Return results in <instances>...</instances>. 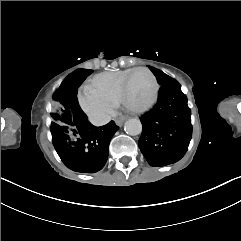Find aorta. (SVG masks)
Returning <instances> with one entry per match:
<instances>
[{
  "mask_svg": "<svg viewBox=\"0 0 241 241\" xmlns=\"http://www.w3.org/2000/svg\"><path fill=\"white\" fill-rule=\"evenodd\" d=\"M124 130L128 135L136 136L142 132V124L140 120L131 118L125 122Z\"/></svg>",
  "mask_w": 241,
  "mask_h": 241,
  "instance_id": "aorta-1",
  "label": "aorta"
}]
</instances>
